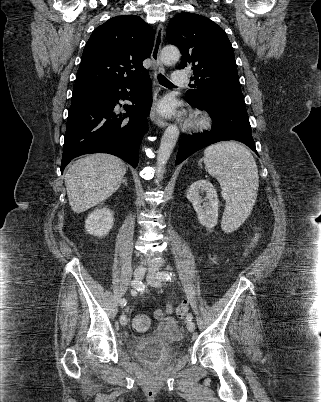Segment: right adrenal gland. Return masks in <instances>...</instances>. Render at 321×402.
Returning a JSON list of instances; mask_svg holds the SVG:
<instances>
[{
    "mask_svg": "<svg viewBox=\"0 0 321 402\" xmlns=\"http://www.w3.org/2000/svg\"><path fill=\"white\" fill-rule=\"evenodd\" d=\"M122 183H123L125 186H128V183H127V180H126V179H123V180H122Z\"/></svg>",
    "mask_w": 321,
    "mask_h": 402,
    "instance_id": "1",
    "label": "right adrenal gland"
}]
</instances>
